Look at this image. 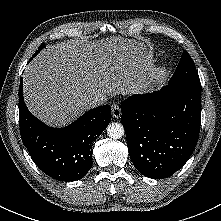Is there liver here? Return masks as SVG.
<instances>
[{"instance_id":"1","label":"liver","mask_w":221,"mask_h":221,"mask_svg":"<svg viewBox=\"0 0 221 221\" xmlns=\"http://www.w3.org/2000/svg\"><path fill=\"white\" fill-rule=\"evenodd\" d=\"M151 64L145 42L122 37L48 45L25 68L24 99L33 115L61 127L91 108L90 97L134 91Z\"/></svg>"}]
</instances>
